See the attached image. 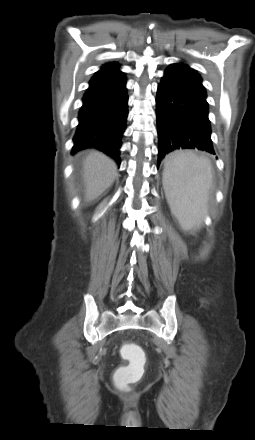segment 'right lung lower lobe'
<instances>
[{
	"instance_id": "right-lung-lower-lobe-1",
	"label": "right lung lower lobe",
	"mask_w": 255,
	"mask_h": 440,
	"mask_svg": "<svg viewBox=\"0 0 255 440\" xmlns=\"http://www.w3.org/2000/svg\"><path fill=\"white\" fill-rule=\"evenodd\" d=\"M79 111L72 153L96 148L120 165V147L128 116L126 78L115 67L89 82Z\"/></svg>"
}]
</instances>
